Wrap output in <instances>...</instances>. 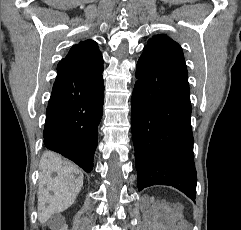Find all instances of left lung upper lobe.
Listing matches in <instances>:
<instances>
[{
  "label": "left lung upper lobe",
  "instance_id": "left-lung-upper-lobe-1",
  "mask_svg": "<svg viewBox=\"0 0 241 230\" xmlns=\"http://www.w3.org/2000/svg\"><path fill=\"white\" fill-rule=\"evenodd\" d=\"M142 56L188 74L181 46L166 35H155L150 38Z\"/></svg>",
  "mask_w": 241,
  "mask_h": 230
}]
</instances>
